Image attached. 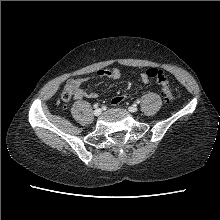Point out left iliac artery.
<instances>
[{
	"label": "left iliac artery",
	"mask_w": 220,
	"mask_h": 220,
	"mask_svg": "<svg viewBox=\"0 0 220 220\" xmlns=\"http://www.w3.org/2000/svg\"><path fill=\"white\" fill-rule=\"evenodd\" d=\"M140 103V100H136V104H139Z\"/></svg>",
	"instance_id": "left-iliac-artery-1"
}]
</instances>
